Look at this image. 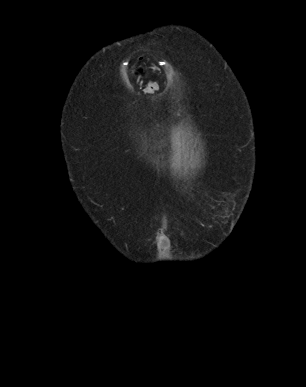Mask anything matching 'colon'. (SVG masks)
I'll return each mask as SVG.
<instances>
[{
    "mask_svg": "<svg viewBox=\"0 0 306 387\" xmlns=\"http://www.w3.org/2000/svg\"><path fill=\"white\" fill-rule=\"evenodd\" d=\"M146 94L153 95L159 90V85L156 82H151L146 86Z\"/></svg>",
    "mask_w": 306,
    "mask_h": 387,
    "instance_id": "1",
    "label": "colon"
}]
</instances>
